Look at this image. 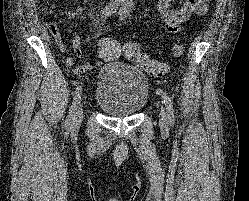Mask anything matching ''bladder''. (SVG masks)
Masks as SVG:
<instances>
[{
	"instance_id": "31cf9c89",
	"label": "bladder",
	"mask_w": 249,
	"mask_h": 201,
	"mask_svg": "<svg viewBox=\"0 0 249 201\" xmlns=\"http://www.w3.org/2000/svg\"><path fill=\"white\" fill-rule=\"evenodd\" d=\"M96 105L113 118L130 117L147 104L149 82L133 66L113 60L105 62L95 83Z\"/></svg>"
}]
</instances>
